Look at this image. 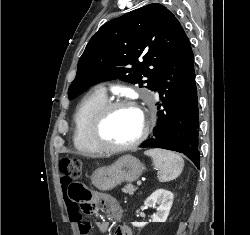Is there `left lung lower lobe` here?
<instances>
[{"instance_id": "0a47b994", "label": "left lung lower lobe", "mask_w": 250, "mask_h": 235, "mask_svg": "<svg viewBox=\"0 0 250 235\" xmlns=\"http://www.w3.org/2000/svg\"><path fill=\"white\" fill-rule=\"evenodd\" d=\"M153 90L159 92L164 109L158 111L153 138L141 147H156L183 153L199 169V117L194 56L184 30L180 31L157 76Z\"/></svg>"}]
</instances>
